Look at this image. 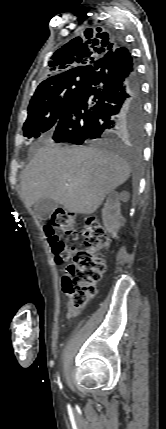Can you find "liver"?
Wrapping results in <instances>:
<instances>
[{
    "label": "liver",
    "instance_id": "liver-1",
    "mask_svg": "<svg viewBox=\"0 0 166 429\" xmlns=\"http://www.w3.org/2000/svg\"><path fill=\"white\" fill-rule=\"evenodd\" d=\"M129 176V164L108 150L48 144L23 170L21 197L27 208L51 198L70 212L92 214Z\"/></svg>",
    "mask_w": 166,
    "mask_h": 429
}]
</instances>
